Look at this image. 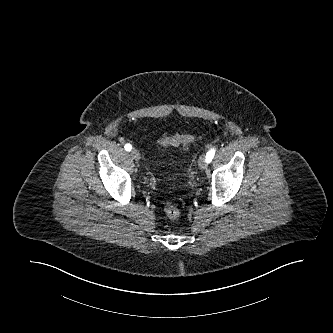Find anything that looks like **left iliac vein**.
Here are the masks:
<instances>
[{"mask_svg": "<svg viewBox=\"0 0 333 333\" xmlns=\"http://www.w3.org/2000/svg\"><path fill=\"white\" fill-rule=\"evenodd\" d=\"M198 165H199V168H200L201 170H205V169H207L208 164H207L206 156H205V155H201V156L199 157V159H198Z\"/></svg>", "mask_w": 333, "mask_h": 333, "instance_id": "obj_1", "label": "left iliac vein"}]
</instances>
